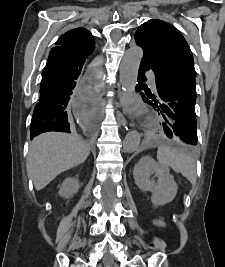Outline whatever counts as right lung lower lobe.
<instances>
[{
    "label": "right lung lower lobe",
    "instance_id": "obj_1",
    "mask_svg": "<svg viewBox=\"0 0 225 267\" xmlns=\"http://www.w3.org/2000/svg\"><path fill=\"white\" fill-rule=\"evenodd\" d=\"M94 48L55 46L51 49L42 72L40 98L36 104L30 125V138L47 132L69 133L67 105L79 86L85 62ZM87 82L86 93L95 91L96 78L93 71Z\"/></svg>",
    "mask_w": 225,
    "mask_h": 267
}]
</instances>
